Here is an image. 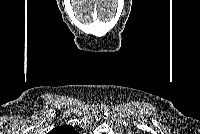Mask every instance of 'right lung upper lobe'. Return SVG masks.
<instances>
[{"mask_svg": "<svg viewBox=\"0 0 200 134\" xmlns=\"http://www.w3.org/2000/svg\"><path fill=\"white\" fill-rule=\"evenodd\" d=\"M75 130L70 125L59 126L51 131V134H73Z\"/></svg>", "mask_w": 200, "mask_h": 134, "instance_id": "1", "label": "right lung upper lobe"}]
</instances>
